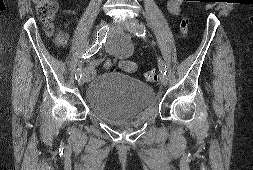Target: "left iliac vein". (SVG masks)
<instances>
[{"label":"left iliac vein","mask_w":253,"mask_h":170,"mask_svg":"<svg viewBox=\"0 0 253 170\" xmlns=\"http://www.w3.org/2000/svg\"><path fill=\"white\" fill-rule=\"evenodd\" d=\"M137 25L139 24V21L132 18V19H128L125 23H124V27L128 30V31H132L133 25ZM160 82L163 86H166L168 84V78L166 75H164L163 73L160 75Z\"/></svg>","instance_id":"left-iliac-vein-1"}]
</instances>
